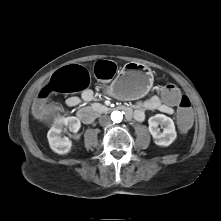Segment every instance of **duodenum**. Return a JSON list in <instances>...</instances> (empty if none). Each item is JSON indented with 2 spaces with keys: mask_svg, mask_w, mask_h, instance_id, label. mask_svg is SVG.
Listing matches in <instances>:
<instances>
[{
  "mask_svg": "<svg viewBox=\"0 0 221 221\" xmlns=\"http://www.w3.org/2000/svg\"><path fill=\"white\" fill-rule=\"evenodd\" d=\"M118 110L125 113L127 118H131L133 111L130 107L121 105L117 108ZM95 111L90 107H84L77 113L79 120L84 124H90L95 120Z\"/></svg>",
  "mask_w": 221,
  "mask_h": 221,
  "instance_id": "duodenum-1",
  "label": "duodenum"
}]
</instances>
